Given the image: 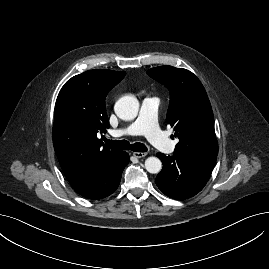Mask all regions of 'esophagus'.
Masks as SVG:
<instances>
[{
    "label": "esophagus",
    "mask_w": 269,
    "mask_h": 269,
    "mask_svg": "<svg viewBox=\"0 0 269 269\" xmlns=\"http://www.w3.org/2000/svg\"><path fill=\"white\" fill-rule=\"evenodd\" d=\"M146 155H147L146 152H134L133 153V156L136 158H142V157H145Z\"/></svg>",
    "instance_id": "esophagus-1"
}]
</instances>
